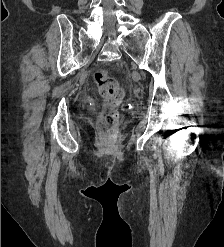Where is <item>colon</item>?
Instances as JSON below:
<instances>
[{"label":"colon","instance_id":"obj_1","mask_svg":"<svg viewBox=\"0 0 224 247\" xmlns=\"http://www.w3.org/2000/svg\"><path fill=\"white\" fill-rule=\"evenodd\" d=\"M93 78L104 101L99 119V128L103 132H108L117 123L118 114L116 108L123 99L124 91L118 81L109 76L105 70L96 71Z\"/></svg>","mask_w":224,"mask_h":247}]
</instances>
